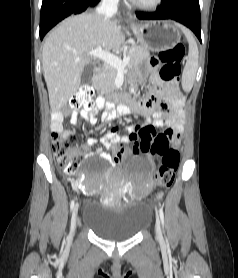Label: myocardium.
<instances>
[{
	"label": "myocardium",
	"instance_id": "obj_1",
	"mask_svg": "<svg viewBox=\"0 0 238 278\" xmlns=\"http://www.w3.org/2000/svg\"><path fill=\"white\" fill-rule=\"evenodd\" d=\"M130 1L132 2V4L134 6H136L137 8H139L141 10L152 11V10L157 9L163 0H151L148 2H143V1H139V0H130Z\"/></svg>",
	"mask_w": 238,
	"mask_h": 278
}]
</instances>
